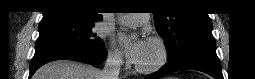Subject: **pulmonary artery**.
Masks as SVG:
<instances>
[{"label":"pulmonary artery","mask_w":255,"mask_h":79,"mask_svg":"<svg viewBox=\"0 0 255 79\" xmlns=\"http://www.w3.org/2000/svg\"><path fill=\"white\" fill-rule=\"evenodd\" d=\"M150 20V14H126L123 15L119 21L123 25H129L133 23H146Z\"/></svg>","instance_id":"1"}]
</instances>
